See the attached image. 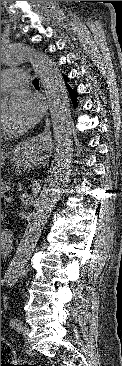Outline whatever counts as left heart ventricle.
Returning <instances> with one entry per match:
<instances>
[{"mask_svg":"<svg viewBox=\"0 0 122 366\" xmlns=\"http://www.w3.org/2000/svg\"><path fill=\"white\" fill-rule=\"evenodd\" d=\"M6 107H1V130L3 131H10L5 123V114H6Z\"/></svg>","mask_w":122,"mask_h":366,"instance_id":"b2bd125f","label":"left heart ventricle"}]
</instances>
